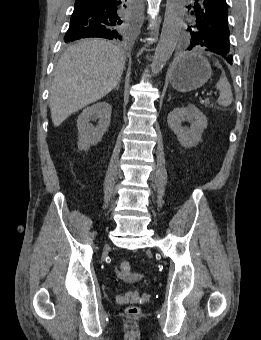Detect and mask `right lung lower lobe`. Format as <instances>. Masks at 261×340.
<instances>
[{
	"label": "right lung lower lobe",
	"instance_id": "right-lung-lower-lobe-1",
	"mask_svg": "<svg viewBox=\"0 0 261 340\" xmlns=\"http://www.w3.org/2000/svg\"><path fill=\"white\" fill-rule=\"evenodd\" d=\"M129 0H76L69 33L84 37H106L107 31L129 8Z\"/></svg>",
	"mask_w": 261,
	"mask_h": 340
}]
</instances>
